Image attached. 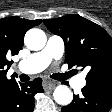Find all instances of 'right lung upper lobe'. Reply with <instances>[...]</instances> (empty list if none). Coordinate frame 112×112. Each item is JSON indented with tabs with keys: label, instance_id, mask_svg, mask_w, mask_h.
<instances>
[{
	"label": "right lung upper lobe",
	"instance_id": "right-lung-upper-lobe-1",
	"mask_svg": "<svg viewBox=\"0 0 112 112\" xmlns=\"http://www.w3.org/2000/svg\"><path fill=\"white\" fill-rule=\"evenodd\" d=\"M41 20H27L19 17L0 19V98L15 79H7L6 66L12 62L7 57L18 54L23 47L25 33L32 27L39 25Z\"/></svg>",
	"mask_w": 112,
	"mask_h": 112
}]
</instances>
